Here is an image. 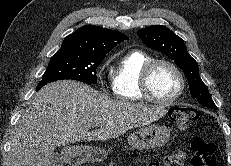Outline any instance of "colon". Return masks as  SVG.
Wrapping results in <instances>:
<instances>
[{
	"label": "colon",
	"mask_w": 231,
	"mask_h": 166,
	"mask_svg": "<svg viewBox=\"0 0 231 166\" xmlns=\"http://www.w3.org/2000/svg\"><path fill=\"white\" fill-rule=\"evenodd\" d=\"M169 116L179 129H186L198 119L199 113L191 107H175L169 111ZM192 150V166H215L214 144L203 138H195L192 142ZM147 166H184V155L169 154L161 163L151 162Z\"/></svg>",
	"instance_id": "obj_1"
}]
</instances>
